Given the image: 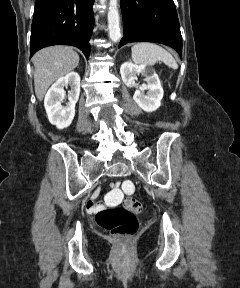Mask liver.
<instances>
[{
  "label": "liver",
  "mask_w": 240,
  "mask_h": 288,
  "mask_svg": "<svg viewBox=\"0 0 240 288\" xmlns=\"http://www.w3.org/2000/svg\"><path fill=\"white\" fill-rule=\"evenodd\" d=\"M32 62L35 68V94L41 101L53 82L78 66L79 55L71 47L51 46L38 51L32 57Z\"/></svg>",
  "instance_id": "6515ba94"
}]
</instances>
